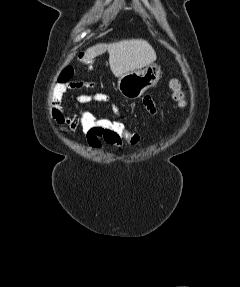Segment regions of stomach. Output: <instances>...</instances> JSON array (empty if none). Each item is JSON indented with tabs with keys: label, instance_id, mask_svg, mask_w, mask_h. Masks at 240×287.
I'll return each mask as SVG.
<instances>
[{
	"label": "stomach",
	"instance_id": "obj_1",
	"mask_svg": "<svg viewBox=\"0 0 240 287\" xmlns=\"http://www.w3.org/2000/svg\"><path fill=\"white\" fill-rule=\"evenodd\" d=\"M161 74V69L156 64L149 65L143 70L130 71L119 77L118 89L125 98L137 99L158 83Z\"/></svg>",
	"mask_w": 240,
	"mask_h": 287
}]
</instances>
